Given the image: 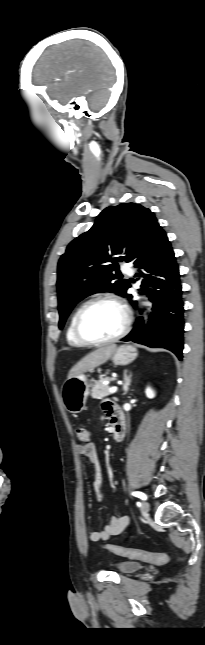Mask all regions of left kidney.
<instances>
[{
    "instance_id": "1",
    "label": "left kidney",
    "mask_w": 205,
    "mask_h": 645,
    "mask_svg": "<svg viewBox=\"0 0 205 645\" xmlns=\"http://www.w3.org/2000/svg\"><path fill=\"white\" fill-rule=\"evenodd\" d=\"M146 396H147L148 398H150V399H151V398H154V397H155V392H154L150 387H148V388L146 389Z\"/></svg>"
}]
</instances>
